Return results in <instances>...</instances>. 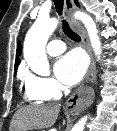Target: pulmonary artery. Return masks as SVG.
<instances>
[{"label": "pulmonary artery", "instance_id": "e3ab8cb5", "mask_svg": "<svg viewBox=\"0 0 117 131\" xmlns=\"http://www.w3.org/2000/svg\"><path fill=\"white\" fill-rule=\"evenodd\" d=\"M66 50V45L61 40H52L47 45V52L51 56H57Z\"/></svg>", "mask_w": 117, "mask_h": 131}]
</instances>
